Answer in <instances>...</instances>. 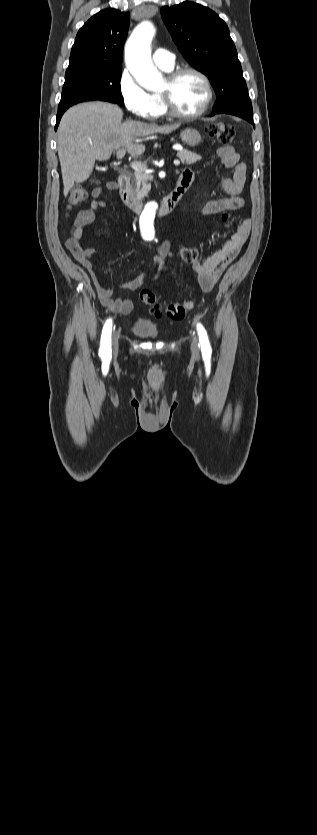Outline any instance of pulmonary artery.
<instances>
[{"instance_id": "obj_1", "label": "pulmonary artery", "mask_w": 317, "mask_h": 835, "mask_svg": "<svg viewBox=\"0 0 317 835\" xmlns=\"http://www.w3.org/2000/svg\"><path fill=\"white\" fill-rule=\"evenodd\" d=\"M152 59L154 63L162 69L171 70L174 67L175 57L166 49H156L153 53Z\"/></svg>"}]
</instances>
